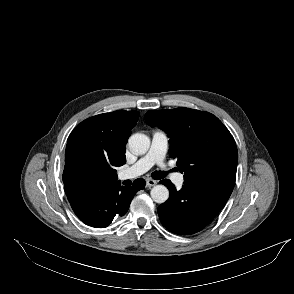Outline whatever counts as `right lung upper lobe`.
<instances>
[{"instance_id": "right-lung-upper-lobe-1", "label": "right lung upper lobe", "mask_w": 294, "mask_h": 294, "mask_svg": "<svg viewBox=\"0 0 294 294\" xmlns=\"http://www.w3.org/2000/svg\"><path fill=\"white\" fill-rule=\"evenodd\" d=\"M137 111H114L90 117L78 124L67 140L65 168L63 172L64 190L70 203L78 202L97 188L117 181L115 167L125 164V145L136 125ZM91 169L94 176L88 180H77L76 170ZM83 187L80 194L73 193Z\"/></svg>"}]
</instances>
